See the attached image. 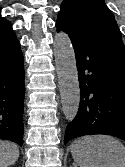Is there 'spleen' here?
I'll use <instances>...</instances> for the list:
<instances>
[{
    "instance_id": "obj_1",
    "label": "spleen",
    "mask_w": 125,
    "mask_h": 167,
    "mask_svg": "<svg viewBox=\"0 0 125 167\" xmlns=\"http://www.w3.org/2000/svg\"><path fill=\"white\" fill-rule=\"evenodd\" d=\"M70 148L79 167H125V147L113 137L84 136L76 139Z\"/></svg>"
}]
</instances>
